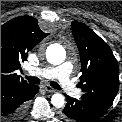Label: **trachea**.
<instances>
[{
	"label": "trachea",
	"mask_w": 122,
	"mask_h": 122,
	"mask_svg": "<svg viewBox=\"0 0 122 122\" xmlns=\"http://www.w3.org/2000/svg\"><path fill=\"white\" fill-rule=\"evenodd\" d=\"M27 78V80L30 82V83H32V84H39L40 83V79L39 78H37V77H26ZM50 85L53 87V88H55V89H57V90H61V87L59 86V84L58 83H56V82H50Z\"/></svg>",
	"instance_id": "obj_1"
}]
</instances>
